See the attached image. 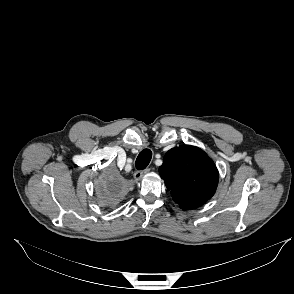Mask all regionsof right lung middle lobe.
<instances>
[{"label": "right lung middle lobe", "instance_id": "1", "mask_svg": "<svg viewBox=\"0 0 294 294\" xmlns=\"http://www.w3.org/2000/svg\"><path fill=\"white\" fill-rule=\"evenodd\" d=\"M124 189L114 177L102 178L97 184V202L102 206H114L122 198Z\"/></svg>", "mask_w": 294, "mask_h": 294}]
</instances>
